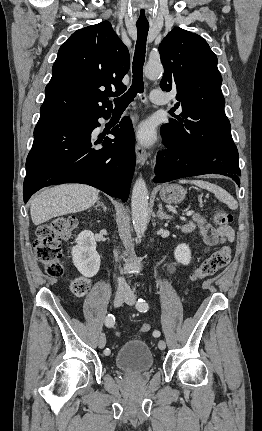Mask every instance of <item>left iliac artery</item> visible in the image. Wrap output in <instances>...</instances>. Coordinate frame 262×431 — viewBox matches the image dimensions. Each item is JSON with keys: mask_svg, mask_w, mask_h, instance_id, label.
Instances as JSON below:
<instances>
[{"mask_svg": "<svg viewBox=\"0 0 262 431\" xmlns=\"http://www.w3.org/2000/svg\"><path fill=\"white\" fill-rule=\"evenodd\" d=\"M136 308L140 312H147V310H148L149 307H148L147 302L144 299L139 298L138 301H137V304H136ZM153 335L155 337H159L161 335V333H160V331L156 330V331L153 332Z\"/></svg>", "mask_w": 262, "mask_h": 431, "instance_id": "obj_1", "label": "left iliac artery"}]
</instances>
